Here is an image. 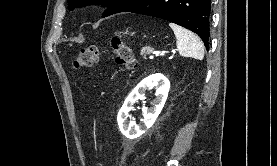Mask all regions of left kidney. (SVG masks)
Segmentation results:
<instances>
[{"instance_id": "5707ae66", "label": "left kidney", "mask_w": 277, "mask_h": 166, "mask_svg": "<svg viewBox=\"0 0 277 166\" xmlns=\"http://www.w3.org/2000/svg\"><path fill=\"white\" fill-rule=\"evenodd\" d=\"M152 87L156 88V98L150 109L142 108L144 122L139 125H136L134 122H128L129 112L133 109L134 103L144 97V92L147 88ZM169 89L170 82L161 73L152 74L143 79L128 95L118 112L117 122L121 133L129 139H135L152 127L164 107Z\"/></svg>"}]
</instances>
